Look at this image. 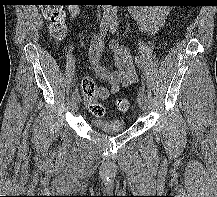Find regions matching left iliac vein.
<instances>
[{"label":"left iliac vein","instance_id":"obj_1","mask_svg":"<svg viewBox=\"0 0 217 197\" xmlns=\"http://www.w3.org/2000/svg\"><path fill=\"white\" fill-rule=\"evenodd\" d=\"M137 102H138L139 108L144 111L146 109V106H147V97H146L144 91H140L138 93Z\"/></svg>","mask_w":217,"mask_h":197}]
</instances>
